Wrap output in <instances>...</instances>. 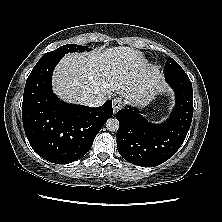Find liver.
Wrapping results in <instances>:
<instances>
[{
    "instance_id": "obj_1",
    "label": "liver",
    "mask_w": 222,
    "mask_h": 222,
    "mask_svg": "<svg viewBox=\"0 0 222 222\" xmlns=\"http://www.w3.org/2000/svg\"><path fill=\"white\" fill-rule=\"evenodd\" d=\"M52 85L54 92L70 103H83L86 94L107 99L117 93L143 104L160 88V75L137 50L119 46L67 54L54 71Z\"/></svg>"
}]
</instances>
